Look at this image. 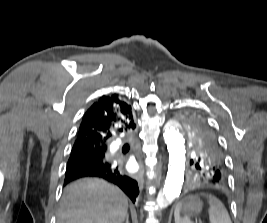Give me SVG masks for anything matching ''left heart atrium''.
<instances>
[{
	"mask_svg": "<svg viewBox=\"0 0 267 223\" xmlns=\"http://www.w3.org/2000/svg\"><path fill=\"white\" fill-rule=\"evenodd\" d=\"M137 168H138L137 165H134V166L131 167V169H132L133 171L137 170Z\"/></svg>",
	"mask_w": 267,
	"mask_h": 223,
	"instance_id": "obj_1",
	"label": "left heart atrium"
}]
</instances>
